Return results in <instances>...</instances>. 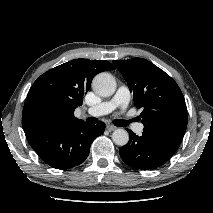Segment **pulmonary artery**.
Instances as JSON below:
<instances>
[{"label": "pulmonary artery", "instance_id": "e3ab8cb5", "mask_svg": "<svg viewBox=\"0 0 213 213\" xmlns=\"http://www.w3.org/2000/svg\"><path fill=\"white\" fill-rule=\"evenodd\" d=\"M130 90L127 86H120L116 92V94L108 101H104L96 106L90 107L87 110V113L90 116L98 117L102 115L109 114L113 110L120 108L122 110L126 109L130 101ZM144 126L141 123L135 124L133 126V130L137 134H141L143 132Z\"/></svg>", "mask_w": 213, "mask_h": 213}]
</instances>
